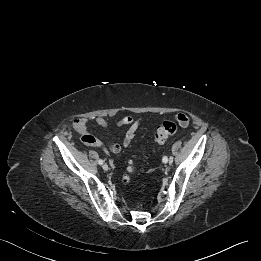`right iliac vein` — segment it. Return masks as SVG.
Wrapping results in <instances>:
<instances>
[{"mask_svg":"<svg viewBox=\"0 0 261 261\" xmlns=\"http://www.w3.org/2000/svg\"><path fill=\"white\" fill-rule=\"evenodd\" d=\"M102 168H103V170H105V171H107V170L109 169V167H108L107 164H103V165H102Z\"/></svg>","mask_w":261,"mask_h":261,"instance_id":"obj_1","label":"right iliac vein"}]
</instances>
